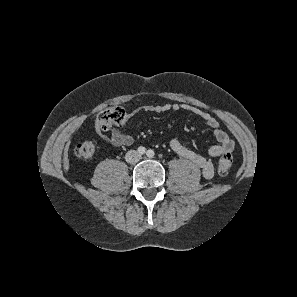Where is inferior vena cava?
Instances as JSON below:
<instances>
[{"label":"inferior vena cava","mask_w":297,"mask_h":297,"mask_svg":"<svg viewBox=\"0 0 297 297\" xmlns=\"http://www.w3.org/2000/svg\"><path fill=\"white\" fill-rule=\"evenodd\" d=\"M125 159L127 163L135 164L141 159V154L136 150H130L126 153Z\"/></svg>","instance_id":"1"}]
</instances>
